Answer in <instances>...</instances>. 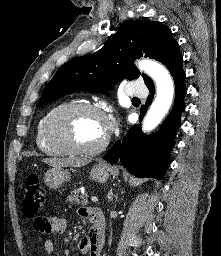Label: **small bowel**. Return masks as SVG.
Here are the masks:
<instances>
[{
  "mask_svg": "<svg viewBox=\"0 0 221 256\" xmlns=\"http://www.w3.org/2000/svg\"><path fill=\"white\" fill-rule=\"evenodd\" d=\"M95 210L93 208L79 209V214L91 221L89 234L79 241V250L86 256H101L103 240L96 239L93 235L92 215ZM33 225L38 232L58 235L66 230L67 223L63 217L52 216L49 218L37 217L34 219ZM43 254L44 256H53L54 245L51 240H46L43 243Z\"/></svg>",
  "mask_w": 221,
  "mask_h": 256,
  "instance_id": "1",
  "label": "small bowel"
}]
</instances>
